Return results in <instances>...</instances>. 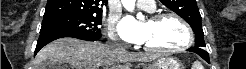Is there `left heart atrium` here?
I'll use <instances>...</instances> for the list:
<instances>
[{
	"label": "left heart atrium",
	"mask_w": 246,
	"mask_h": 69,
	"mask_svg": "<svg viewBox=\"0 0 246 69\" xmlns=\"http://www.w3.org/2000/svg\"><path fill=\"white\" fill-rule=\"evenodd\" d=\"M120 35L128 43H142L145 36V25L137 23L133 17L128 16L120 26Z\"/></svg>",
	"instance_id": "left-heart-atrium-1"
}]
</instances>
